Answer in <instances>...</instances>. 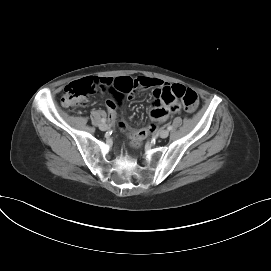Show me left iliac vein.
<instances>
[{
    "label": "left iliac vein",
    "mask_w": 271,
    "mask_h": 271,
    "mask_svg": "<svg viewBox=\"0 0 271 271\" xmlns=\"http://www.w3.org/2000/svg\"><path fill=\"white\" fill-rule=\"evenodd\" d=\"M158 135H159L161 138H167L168 135H169V131H168V130H165V129L159 130Z\"/></svg>",
    "instance_id": "obj_1"
}]
</instances>
